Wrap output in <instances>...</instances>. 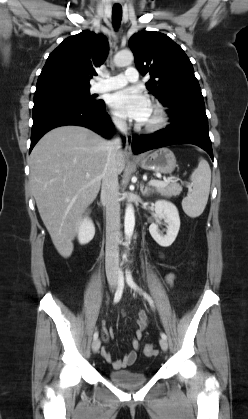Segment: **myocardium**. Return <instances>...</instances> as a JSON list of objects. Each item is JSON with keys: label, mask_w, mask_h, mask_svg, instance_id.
<instances>
[{"label": "myocardium", "mask_w": 248, "mask_h": 419, "mask_svg": "<svg viewBox=\"0 0 248 419\" xmlns=\"http://www.w3.org/2000/svg\"><path fill=\"white\" fill-rule=\"evenodd\" d=\"M151 108L154 113L153 119L141 126L142 130L146 132H156L165 127L168 121L167 111L162 104L153 102Z\"/></svg>", "instance_id": "myocardium-1"}]
</instances>
